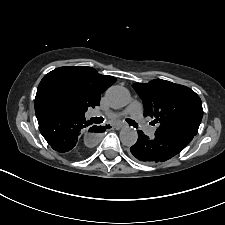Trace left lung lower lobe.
<instances>
[{"instance_id": "0a47b994", "label": "left lung lower lobe", "mask_w": 225, "mask_h": 225, "mask_svg": "<svg viewBox=\"0 0 225 225\" xmlns=\"http://www.w3.org/2000/svg\"><path fill=\"white\" fill-rule=\"evenodd\" d=\"M195 135L189 133L155 134L149 138L138 131V140L130 148L132 155L147 164L164 162L180 153Z\"/></svg>"}]
</instances>
